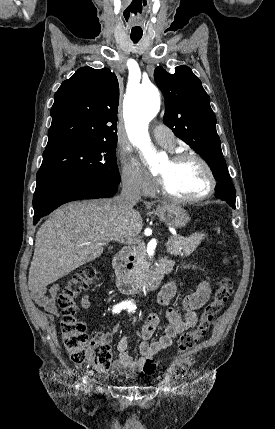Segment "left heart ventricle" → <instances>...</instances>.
<instances>
[{
	"mask_svg": "<svg viewBox=\"0 0 275 429\" xmlns=\"http://www.w3.org/2000/svg\"><path fill=\"white\" fill-rule=\"evenodd\" d=\"M156 173L164 186L180 197H197L204 194L209 186L208 176L203 166L196 160L173 163L166 160Z\"/></svg>",
	"mask_w": 275,
	"mask_h": 429,
	"instance_id": "b2bd125f",
	"label": "left heart ventricle"
}]
</instances>
